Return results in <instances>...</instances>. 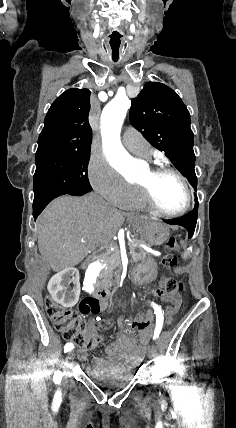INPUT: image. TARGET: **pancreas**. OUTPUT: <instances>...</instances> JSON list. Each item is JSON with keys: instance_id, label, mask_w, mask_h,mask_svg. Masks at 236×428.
Segmentation results:
<instances>
[{"instance_id": "1", "label": "pancreas", "mask_w": 236, "mask_h": 428, "mask_svg": "<svg viewBox=\"0 0 236 428\" xmlns=\"http://www.w3.org/2000/svg\"><path fill=\"white\" fill-rule=\"evenodd\" d=\"M133 242H136V244H133ZM139 244H145V242H143V240H132V242H128L130 254L134 262H139V260H145V258H148V256H151L150 252H146V250H143V248H141ZM100 258H102V260H107V264H110L107 270H104V272H102L100 276V278H103L102 286H105V288H107V286H109L107 282L110 278L111 270H113V266H115V264H120L121 260H120L119 252H110V254H101Z\"/></svg>"}]
</instances>
